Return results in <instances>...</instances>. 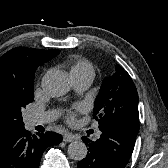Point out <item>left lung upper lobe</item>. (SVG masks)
Wrapping results in <instances>:
<instances>
[{"mask_svg": "<svg viewBox=\"0 0 168 168\" xmlns=\"http://www.w3.org/2000/svg\"><path fill=\"white\" fill-rule=\"evenodd\" d=\"M115 73L103 80L96 99L93 117L99 129L118 127L138 134V93L130 75L119 65Z\"/></svg>", "mask_w": 168, "mask_h": 168, "instance_id": "1", "label": "left lung upper lobe"}]
</instances>
